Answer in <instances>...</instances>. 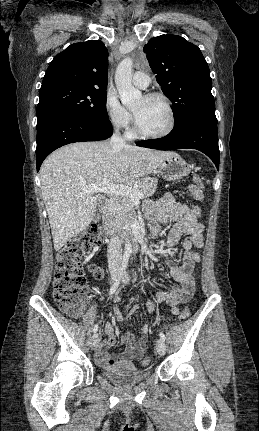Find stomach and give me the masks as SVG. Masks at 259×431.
I'll return each mask as SVG.
<instances>
[{
  "label": "stomach",
  "mask_w": 259,
  "mask_h": 431,
  "mask_svg": "<svg viewBox=\"0 0 259 431\" xmlns=\"http://www.w3.org/2000/svg\"><path fill=\"white\" fill-rule=\"evenodd\" d=\"M191 166L177 153L165 158L157 168V173L167 181H175L188 176Z\"/></svg>",
  "instance_id": "1"
}]
</instances>
